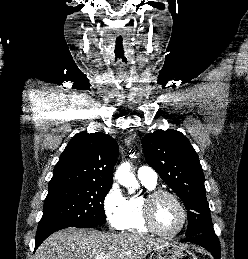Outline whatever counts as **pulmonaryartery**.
<instances>
[{
  "label": "pulmonary artery",
  "mask_w": 248,
  "mask_h": 259,
  "mask_svg": "<svg viewBox=\"0 0 248 259\" xmlns=\"http://www.w3.org/2000/svg\"><path fill=\"white\" fill-rule=\"evenodd\" d=\"M137 176L141 181L156 184L157 183V173L154 169L149 166H141L137 171Z\"/></svg>",
  "instance_id": "e3ab8cb5"
}]
</instances>
